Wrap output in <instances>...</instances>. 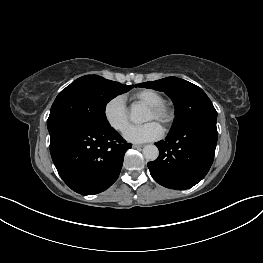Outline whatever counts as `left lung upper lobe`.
<instances>
[{
	"mask_svg": "<svg viewBox=\"0 0 263 263\" xmlns=\"http://www.w3.org/2000/svg\"><path fill=\"white\" fill-rule=\"evenodd\" d=\"M136 86L163 91L172 99L175 119L170 132L189 124L217 120V112L205 92L186 80L167 77Z\"/></svg>",
	"mask_w": 263,
	"mask_h": 263,
	"instance_id": "obj_1",
	"label": "left lung upper lobe"
}]
</instances>
